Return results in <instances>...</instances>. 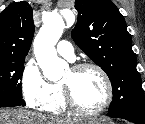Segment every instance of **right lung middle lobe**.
Masks as SVG:
<instances>
[{
  "label": "right lung middle lobe",
  "mask_w": 145,
  "mask_h": 124,
  "mask_svg": "<svg viewBox=\"0 0 145 124\" xmlns=\"http://www.w3.org/2000/svg\"><path fill=\"white\" fill-rule=\"evenodd\" d=\"M25 58L0 59V99L22 98L21 83Z\"/></svg>",
  "instance_id": "obj_1"
}]
</instances>
